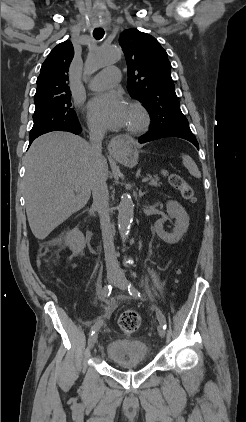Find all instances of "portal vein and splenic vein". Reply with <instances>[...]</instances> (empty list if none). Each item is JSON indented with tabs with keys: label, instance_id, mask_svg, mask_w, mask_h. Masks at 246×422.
Here are the masks:
<instances>
[{
	"label": "portal vein and splenic vein",
	"instance_id": "portal-vein-and-splenic-vein-1",
	"mask_svg": "<svg viewBox=\"0 0 246 422\" xmlns=\"http://www.w3.org/2000/svg\"><path fill=\"white\" fill-rule=\"evenodd\" d=\"M149 181V183H151L152 182V177H147V178H143L142 179V183H145V182H148Z\"/></svg>",
	"mask_w": 246,
	"mask_h": 422
}]
</instances>
